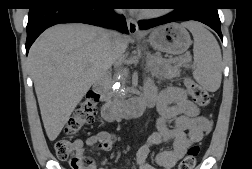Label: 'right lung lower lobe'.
I'll return each mask as SVG.
<instances>
[{
    "mask_svg": "<svg viewBox=\"0 0 252 169\" xmlns=\"http://www.w3.org/2000/svg\"><path fill=\"white\" fill-rule=\"evenodd\" d=\"M115 0H37L30 8L26 54L36 38L59 23H86L128 33L124 16L115 15Z\"/></svg>",
    "mask_w": 252,
    "mask_h": 169,
    "instance_id": "1",
    "label": "right lung lower lobe"
}]
</instances>
